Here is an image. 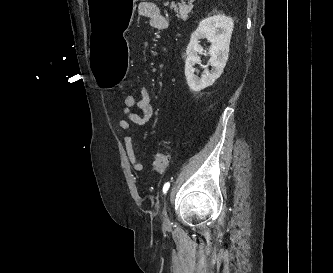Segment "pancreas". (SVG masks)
I'll return each mask as SVG.
<instances>
[{
  "instance_id": "obj_1",
  "label": "pancreas",
  "mask_w": 333,
  "mask_h": 273,
  "mask_svg": "<svg viewBox=\"0 0 333 273\" xmlns=\"http://www.w3.org/2000/svg\"><path fill=\"white\" fill-rule=\"evenodd\" d=\"M193 0H191L192 2ZM188 3V4H185V3H181L179 4V7H177L176 5L172 4L171 5V8L174 7L175 11L177 12V17L179 19H182V20H187L188 18V14L190 13L191 9H192V3Z\"/></svg>"
}]
</instances>
